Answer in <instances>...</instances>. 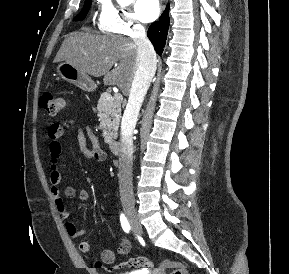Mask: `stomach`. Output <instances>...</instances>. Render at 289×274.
Returning <instances> with one entry per match:
<instances>
[{
  "mask_svg": "<svg viewBox=\"0 0 289 274\" xmlns=\"http://www.w3.org/2000/svg\"><path fill=\"white\" fill-rule=\"evenodd\" d=\"M56 71L62 79L76 85L84 91L92 92L96 89V84L88 74L66 61L59 63Z\"/></svg>",
  "mask_w": 289,
  "mask_h": 274,
  "instance_id": "obj_1",
  "label": "stomach"
}]
</instances>
